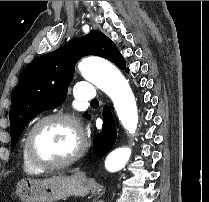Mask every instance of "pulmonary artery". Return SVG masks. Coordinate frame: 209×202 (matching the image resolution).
I'll return each mask as SVG.
<instances>
[{
	"mask_svg": "<svg viewBox=\"0 0 209 202\" xmlns=\"http://www.w3.org/2000/svg\"><path fill=\"white\" fill-rule=\"evenodd\" d=\"M76 99L80 101L96 99L95 87L89 81L81 80L76 84Z\"/></svg>",
	"mask_w": 209,
	"mask_h": 202,
	"instance_id": "1",
	"label": "pulmonary artery"
}]
</instances>
